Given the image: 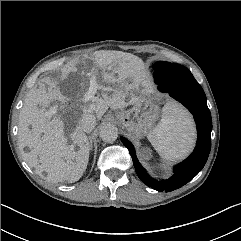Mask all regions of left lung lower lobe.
Instances as JSON below:
<instances>
[{
  "mask_svg": "<svg viewBox=\"0 0 241 241\" xmlns=\"http://www.w3.org/2000/svg\"><path fill=\"white\" fill-rule=\"evenodd\" d=\"M154 79L161 92H168L171 97L182 103L194 116L197 125V144L192 154L174 168V175L167 180L156 181L149 177L139 163L134 146L130 141L121 137L122 143L128 148L138 177L149 187L157 191L170 192L182 187L192 180L204 167L211 148V113L207 107L205 93L198 82L171 88L156 72Z\"/></svg>",
  "mask_w": 241,
  "mask_h": 241,
  "instance_id": "0a47b994",
  "label": "left lung lower lobe"
}]
</instances>
